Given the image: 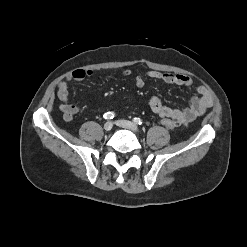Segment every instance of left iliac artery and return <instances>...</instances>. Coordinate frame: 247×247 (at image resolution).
I'll return each mask as SVG.
<instances>
[{"label": "left iliac artery", "mask_w": 247, "mask_h": 247, "mask_svg": "<svg viewBox=\"0 0 247 247\" xmlns=\"http://www.w3.org/2000/svg\"><path fill=\"white\" fill-rule=\"evenodd\" d=\"M133 122L136 123V124H139V125L143 124L142 119H140L138 117L133 118Z\"/></svg>", "instance_id": "obj_1"}]
</instances>
